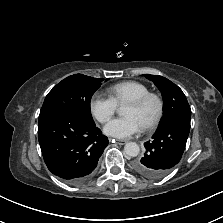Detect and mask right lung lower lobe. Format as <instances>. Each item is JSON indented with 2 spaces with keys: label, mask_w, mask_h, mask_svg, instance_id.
Segmentation results:
<instances>
[{
  "label": "right lung lower lobe",
  "mask_w": 223,
  "mask_h": 223,
  "mask_svg": "<svg viewBox=\"0 0 223 223\" xmlns=\"http://www.w3.org/2000/svg\"><path fill=\"white\" fill-rule=\"evenodd\" d=\"M38 139L51 173L71 184L86 181L108 145L94 122L74 113H57L39 121Z\"/></svg>",
  "instance_id": "obj_1"
}]
</instances>
